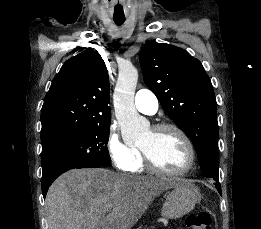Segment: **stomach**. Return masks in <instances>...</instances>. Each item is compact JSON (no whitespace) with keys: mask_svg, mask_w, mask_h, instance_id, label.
I'll list each match as a JSON object with an SVG mask.
<instances>
[{"mask_svg":"<svg viewBox=\"0 0 261 229\" xmlns=\"http://www.w3.org/2000/svg\"><path fill=\"white\" fill-rule=\"evenodd\" d=\"M200 199V191L192 181L173 179L172 191L163 205L162 217L164 219H180L193 211Z\"/></svg>","mask_w":261,"mask_h":229,"instance_id":"obj_1","label":"stomach"}]
</instances>
